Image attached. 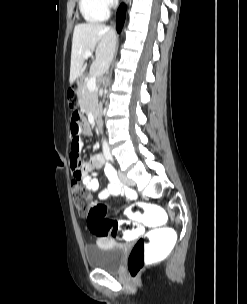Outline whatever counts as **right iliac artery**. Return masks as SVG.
Instances as JSON below:
<instances>
[{
    "mask_svg": "<svg viewBox=\"0 0 247 304\" xmlns=\"http://www.w3.org/2000/svg\"><path fill=\"white\" fill-rule=\"evenodd\" d=\"M110 159V157H107V160H109Z\"/></svg>",
    "mask_w": 247,
    "mask_h": 304,
    "instance_id": "obj_1",
    "label": "right iliac artery"
}]
</instances>
